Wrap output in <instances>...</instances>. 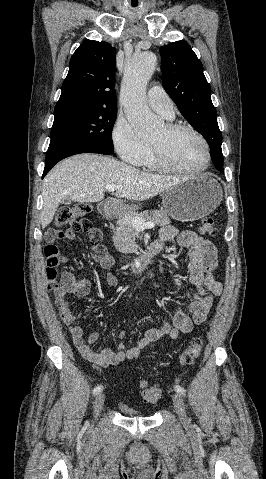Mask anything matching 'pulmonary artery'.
I'll list each match as a JSON object with an SVG mask.
<instances>
[{
    "instance_id": "e3ab8cb5",
    "label": "pulmonary artery",
    "mask_w": 266,
    "mask_h": 479,
    "mask_svg": "<svg viewBox=\"0 0 266 479\" xmlns=\"http://www.w3.org/2000/svg\"><path fill=\"white\" fill-rule=\"evenodd\" d=\"M147 101L149 106L167 119L174 117L173 102L160 86L148 90Z\"/></svg>"
}]
</instances>
